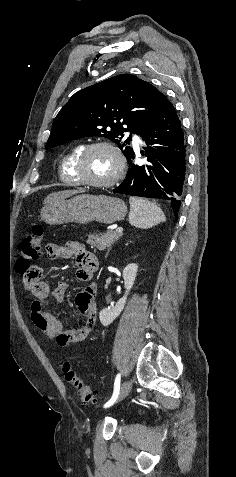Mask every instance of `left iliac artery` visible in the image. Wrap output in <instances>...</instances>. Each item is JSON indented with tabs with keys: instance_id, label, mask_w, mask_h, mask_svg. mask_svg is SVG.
<instances>
[{
	"instance_id": "left-iliac-artery-1",
	"label": "left iliac artery",
	"mask_w": 236,
	"mask_h": 477,
	"mask_svg": "<svg viewBox=\"0 0 236 477\" xmlns=\"http://www.w3.org/2000/svg\"><path fill=\"white\" fill-rule=\"evenodd\" d=\"M120 380H121V375L118 374L116 376V379H115V383H114V392H113V395L111 397V399L104 405V408H107L109 407L110 403H114L118 397V394H119V390H120Z\"/></svg>"
}]
</instances>
